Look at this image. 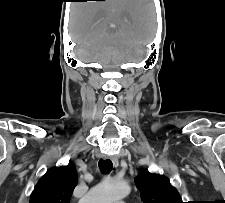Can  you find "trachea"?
Wrapping results in <instances>:
<instances>
[{"label": "trachea", "mask_w": 225, "mask_h": 203, "mask_svg": "<svg viewBox=\"0 0 225 203\" xmlns=\"http://www.w3.org/2000/svg\"><path fill=\"white\" fill-rule=\"evenodd\" d=\"M98 166L102 173L108 174L111 172L113 164H112V161L109 159H106V160L100 159L98 162Z\"/></svg>", "instance_id": "1"}]
</instances>
